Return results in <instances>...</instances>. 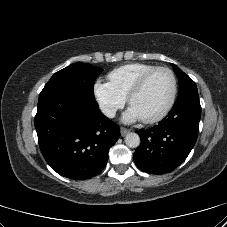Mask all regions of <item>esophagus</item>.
Instances as JSON below:
<instances>
[{"instance_id":"obj_1","label":"esophagus","mask_w":227,"mask_h":227,"mask_svg":"<svg viewBox=\"0 0 227 227\" xmlns=\"http://www.w3.org/2000/svg\"><path fill=\"white\" fill-rule=\"evenodd\" d=\"M120 132H121V135H122V136H125L126 134H128V133L130 132V130L127 129V128L122 127V128L120 129Z\"/></svg>"}]
</instances>
